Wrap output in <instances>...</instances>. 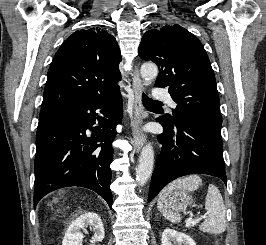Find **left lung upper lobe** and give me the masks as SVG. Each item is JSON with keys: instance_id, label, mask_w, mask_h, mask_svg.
Masks as SVG:
<instances>
[{"instance_id": "1", "label": "left lung upper lobe", "mask_w": 266, "mask_h": 245, "mask_svg": "<svg viewBox=\"0 0 266 245\" xmlns=\"http://www.w3.org/2000/svg\"><path fill=\"white\" fill-rule=\"evenodd\" d=\"M139 56L159 67L155 87L169 86L177 107L164 119L173 126L180 117H192L221 127L219 95L207 53L200 40L175 24L147 31Z\"/></svg>"}]
</instances>
